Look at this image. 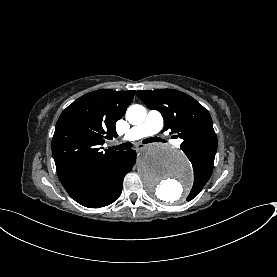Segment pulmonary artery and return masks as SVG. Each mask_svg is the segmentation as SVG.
<instances>
[{"mask_svg":"<svg viewBox=\"0 0 277 277\" xmlns=\"http://www.w3.org/2000/svg\"><path fill=\"white\" fill-rule=\"evenodd\" d=\"M130 117H132V115ZM164 123L165 118L163 115H152L143 125L134 126L130 129V132L125 133L122 138L123 142L129 144L142 136H150L153 133H159L163 130Z\"/></svg>","mask_w":277,"mask_h":277,"instance_id":"obj_1","label":"pulmonary artery"}]
</instances>
